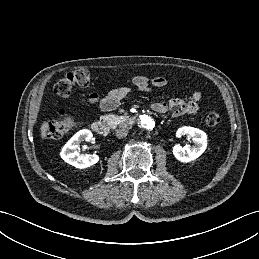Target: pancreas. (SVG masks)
<instances>
[{"mask_svg": "<svg viewBox=\"0 0 259 259\" xmlns=\"http://www.w3.org/2000/svg\"><path fill=\"white\" fill-rule=\"evenodd\" d=\"M102 119L111 127L116 128L119 124H131L132 119L129 116H117L114 114L104 115Z\"/></svg>", "mask_w": 259, "mask_h": 259, "instance_id": "1", "label": "pancreas"}]
</instances>
